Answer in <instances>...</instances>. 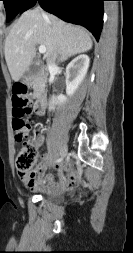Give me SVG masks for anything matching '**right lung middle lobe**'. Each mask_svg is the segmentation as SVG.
Instances as JSON below:
<instances>
[{"mask_svg":"<svg viewBox=\"0 0 133 253\" xmlns=\"http://www.w3.org/2000/svg\"><path fill=\"white\" fill-rule=\"evenodd\" d=\"M4 2V6L7 12V22L13 20L16 15L21 11L26 0H1Z\"/></svg>","mask_w":133,"mask_h":253,"instance_id":"right-lung-middle-lobe-1","label":"right lung middle lobe"}]
</instances>
